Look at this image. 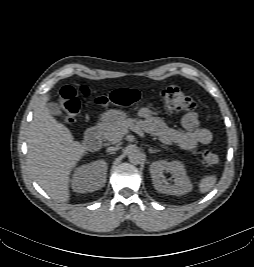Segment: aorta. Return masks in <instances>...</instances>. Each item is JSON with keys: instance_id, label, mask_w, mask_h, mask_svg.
<instances>
[{"instance_id": "762f6f07", "label": "aorta", "mask_w": 254, "mask_h": 267, "mask_svg": "<svg viewBox=\"0 0 254 267\" xmlns=\"http://www.w3.org/2000/svg\"><path fill=\"white\" fill-rule=\"evenodd\" d=\"M143 153L135 146L128 148V159L132 164H140L143 161Z\"/></svg>"}]
</instances>
